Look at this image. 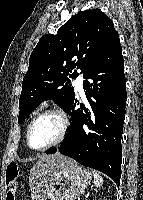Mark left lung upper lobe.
<instances>
[{
    "label": "left lung upper lobe",
    "mask_w": 143,
    "mask_h": 200,
    "mask_svg": "<svg viewBox=\"0 0 143 200\" xmlns=\"http://www.w3.org/2000/svg\"><path fill=\"white\" fill-rule=\"evenodd\" d=\"M118 33L112 20L93 9L72 16L56 35L40 38L29 59L19 98L18 122L43 101L53 99L70 114L75 98L70 78L84 74Z\"/></svg>",
    "instance_id": "obj_1"
}]
</instances>
